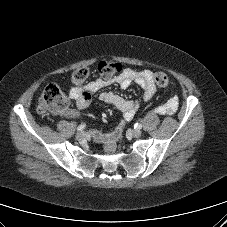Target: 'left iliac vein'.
<instances>
[{
    "label": "left iliac vein",
    "instance_id": "4c4485c4",
    "mask_svg": "<svg viewBox=\"0 0 227 227\" xmlns=\"http://www.w3.org/2000/svg\"><path fill=\"white\" fill-rule=\"evenodd\" d=\"M131 134L133 137L139 138L142 135V132L139 129H133L131 130Z\"/></svg>",
    "mask_w": 227,
    "mask_h": 227
}]
</instances>
